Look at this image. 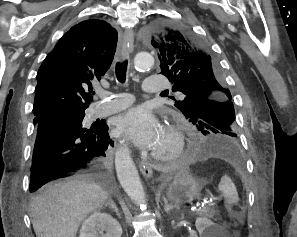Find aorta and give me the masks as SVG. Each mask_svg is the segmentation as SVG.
Listing matches in <instances>:
<instances>
[{"instance_id":"obj_1","label":"aorta","mask_w":297,"mask_h":237,"mask_svg":"<svg viewBox=\"0 0 297 237\" xmlns=\"http://www.w3.org/2000/svg\"><path fill=\"white\" fill-rule=\"evenodd\" d=\"M134 65L137 70L149 69L154 65V58L149 53H138L134 58ZM115 166L126 194L136 206L145 209L147 202L144 188L127 146L123 145L116 151Z\"/></svg>"}]
</instances>
